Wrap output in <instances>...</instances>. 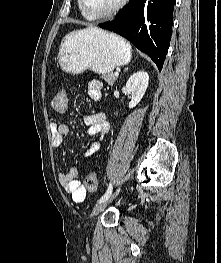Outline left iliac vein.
Here are the masks:
<instances>
[{
    "instance_id": "left-iliac-vein-1",
    "label": "left iliac vein",
    "mask_w": 221,
    "mask_h": 263,
    "mask_svg": "<svg viewBox=\"0 0 221 263\" xmlns=\"http://www.w3.org/2000/svg\"><path fill=\"white\" fill-rule=\"evenodd\" d=\"M120 189L121 187L119 186L107 200L98 203L92 210V216L98 215L118 195Z\"/></svg>"
}]
</instances>
